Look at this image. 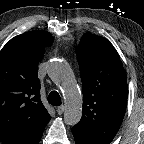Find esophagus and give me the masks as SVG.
I'll return each instance as SVG.
<instances>
[{
	"label": "esophagus",
	"mask_w": 144,
	"mask_h": 144,
	"mask_svg": "<svg viewBox=\"0 0 144 144\" xmlns=\"http://www.w3.org/2000/svg\"><path fill=\"white\" fill-rule=\"evenodd\" d=\"M64 110H65V106H64V105H61V106H59V107L57 108V113H58L59 115H62L63 112H64Z\"/></svg>",
	"instance_id": "1"
}]
</instances>
